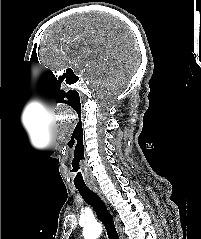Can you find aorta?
<instances>
[{"label": "aorta", "mask_w": 201, "mask_h": 239, "mask_svg": "<svg viewBox=\"0 0 201 239\" xmlns=\"http://www.w3.org/2000/svg\"><path fill=\"white\" fill-rule=\"evenodd\" d=\"M102 233V226L99 223L87 224L83 229L84 239H97Z\"/></svg>", "instance_id": "aorta-1"}]
</instances>
